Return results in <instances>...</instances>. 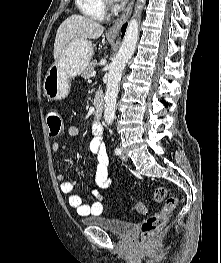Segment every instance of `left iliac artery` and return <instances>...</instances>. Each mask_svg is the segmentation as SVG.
<instances>
[{"label":"left iliac artery","mask_w":221,"mask_h":263,"mask_svg":"<svg viewBox=\"0 0 221 263\" xmlns=\"http://www.w3.org/2000/svg\"><path fill=\"white\" fill-rule=\"evenodd\" d=\"M114 152H115L116 155H119V154H121V149L120 148H115Z\"/></svg>","instance_id":"1"}]
</instances>
